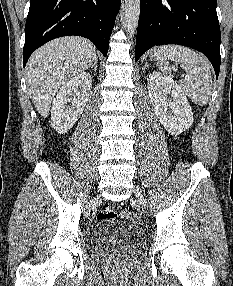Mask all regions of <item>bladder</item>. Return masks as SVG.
Here are the masks:
<instances>
[{
  "label": "bladder",
  "instance_id": "1",
  "mask_svg": "<svg viewBox=\"0 0 233 286\" xmlns=\"http://www.w3.org/2000/svg\"><path fill=\"white\" fill-rule=\"evenodd\" d=\"M91 243L96 253L110 247H121L137 254L144 248V238L139 229L116 219L100 220L94 228Z\"/></svg>",
  "mask_w": 233,
  "mask_h": 286
}]
</instances>
